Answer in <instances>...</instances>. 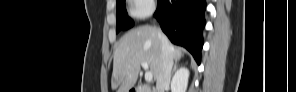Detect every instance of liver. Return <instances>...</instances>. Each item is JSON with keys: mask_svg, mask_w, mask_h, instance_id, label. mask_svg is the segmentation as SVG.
Returning a JSON list of instances; mask_svg holds the SVG:
<instances>
[{"mask_svg": "<svg viewBox=\"0 0 296 92\" xmlns=\"http://www.w3.org/2000/svg\"><path fill=\"white\" fill-rule=\"evenodd\" d=\"M170 52L175 62L183 56L180 49L174 47L169 40ZM162 43L159 30L143 25L128 31L119 40L114 51L111 87L117 92H129L135 85L141 69L146 62L157 80L160 69Z\"/></svg>", "mask_w": 296, "mask_h": 92, "instance_id": "6515ba94", "label": "liver"}]
</instances>
